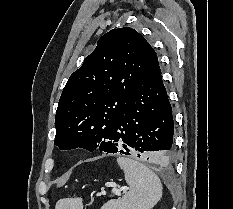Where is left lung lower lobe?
I'll use <instances>...</instances> for the list:
<instances>
[{
  "instance_id": "left-lung-lower-lobe-1",
  "label": "left lung lower lobe",
  "mask_w": 233,
  "mask_h": 209,
  "mask_svg": "<svg viewBox=\"0 0 233 209\" xmlns=\"http://www.w3.org/2000/svg\"><path fill=\"white\" fill-rule=\"evenodd\" d=\"M173 133L172 108L156 56L111 124L101 151L134 154L152 164H166L172 156Z\"/></svg>"
}]
</instances>
